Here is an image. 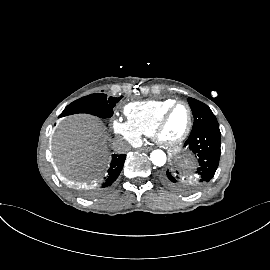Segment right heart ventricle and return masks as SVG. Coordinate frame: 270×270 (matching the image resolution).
Returning a JSON list of instances; mask_svg holds the SVG:
<instances>
[{"mask_svg": "<svg viewBox=\"0 0 270 270\" xmlns=\"http://www.w3.org/2000/svg\"><path fill=\"white\" fill-rule=\"evenodd\" d=\"M174 102V99L131 102L125 105L124 113L140 135L152 136L159 118Z\"/></svg>", "mask_w": 270, "mask_h": 270, "instance_id": "1", "label": "right heart ventricle"}]
</instances>
